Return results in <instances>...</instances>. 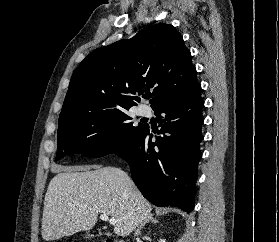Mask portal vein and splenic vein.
I'll use <instances>...</instances> for the list:
<instances>
[{"instance_id":"1","label":"portal vein and splenic vein","mask_w":279,"mask_h":242,"mask_svg":"<svg viewBox=\"0 0 279 242\" xmlns=\"http://www.w3.org/2000/svg\"><path fill=\"white\" fill-rule=\"evenodd\" d=\"M100 219L103 221H108L111 225H115L117 222L115 218H109L106 213L100 214Z\"/></svg>"}]
</instances>
